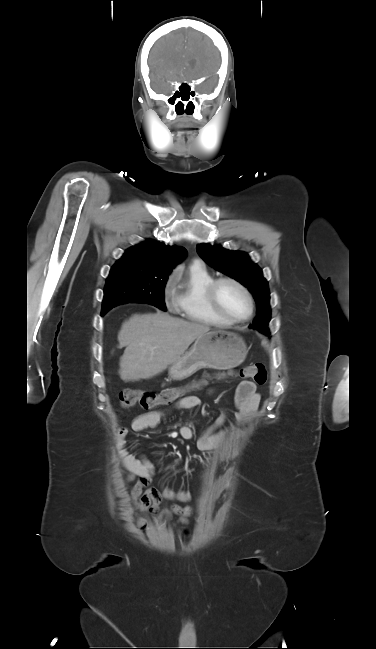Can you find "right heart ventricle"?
Masks as SVG:
<instances>
[{
    "label": "right heart ventricle",
    "instance_id": "right-heart-ventricle-1",
    "mask_svg": "<svg viewBox=\"0 0 376 649\" xmlns=\"http://www.w3.org/2000/svg\"><path fill=\"white\" fill-rule=\"evenodd\" d=\"M213 280V274L202 263H192L173 279L174 309L191 321L227 327L231 323L216 312L208 299L207 289Z\"/></svg>",
    "mask_w": 376,
    "mask_h": 649
}]
</instances>
